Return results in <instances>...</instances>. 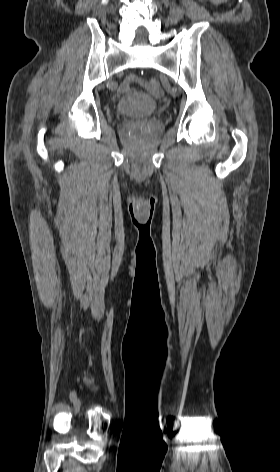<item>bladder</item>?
I'll use <instances>...</instances> for the list:
<instances>
[{"instance_id": "obj_1", "label": "bladder", "mask_w": 280, "mask_h": 472, "mask_svg": "<svg viewBox=\"0 0 280 472\" xmlns=\"http://www.w3.org/2000/svg\"><path fill=\"white\" fill-rule=\"evenodd\" d=\"M119 114L133 118H145L160 111L156 99L143 93H133L122 97L116 106Z\"/></svg>"}]
</instances>
